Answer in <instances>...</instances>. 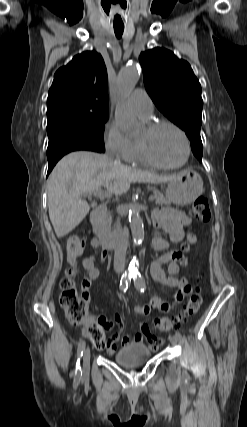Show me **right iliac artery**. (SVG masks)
Here are the masks:
<instances>
[{
    "mask_svg": "<svg viewBox=\"0 0 247 427\" xmlns=\"http://www.w3.org/2000/svg\"><path fill=\"white\" fill-rule=\"evenodd\" d=\"M131 278H132L131 274H127V273L123 274L120 280V285H119V288L121 291L125 292L128 289V285L130 284ZM85 345H86L85 341H80L78 346V359L75 367V380L77 381L82 374L81 367H80V359L83 356Z\"/></svg>",
    "mask_w": 247,
    "mask_h": 427,
    "instance_id": "obj_1",
    "label": "right iliac artery"
}]
</instances>
